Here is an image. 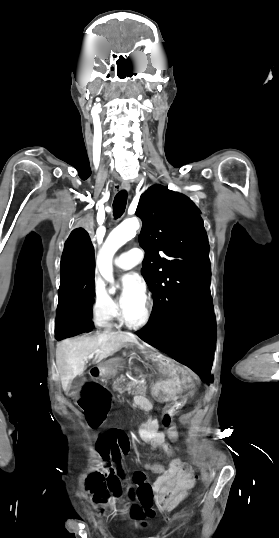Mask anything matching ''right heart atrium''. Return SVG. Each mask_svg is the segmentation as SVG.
I'll return each mask as SVG.
<instances>
[{
  "mask_svg": "<svg viewBox=\"0 0 279 538\" xmlns=\"http://www.w3.org/2000/svg\"><path fill=\"white\" fill-rule=\"evenodd\" d=\"M119 315L118 303L110 297L100 282L94 281V322L98 326H105Z\"/></svg>",
  "mask_w": 279,
  "mask_h": 538,
  "instance_id": "obj_1",
  "label": "right heart atrium"
}]
</instances>
